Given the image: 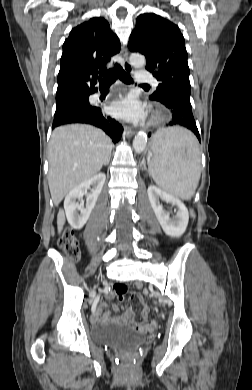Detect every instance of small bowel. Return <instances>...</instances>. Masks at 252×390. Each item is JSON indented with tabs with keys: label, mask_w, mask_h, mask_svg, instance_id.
<instances>
[{
	"label": "small bowel",
	"mask_w": 252,
	"mask_h": 390,
	"mask_svg": "<svg viewBox=\"0 0 252 390\" xmlns=\"http://www.w3.org/2000/svg\"><path fill=\"white\" fill-rule=\"evenodd\" d=\"M116 293L114 291H110L107 293L108 297H113ZM119 300L124 299V295H118L116 294ZM139 301L142 305L140 316L141 320L137 321L134 311L131 306H128L124 314L122 315H112V313L118 312V307L116 305H107L106 303H101L98 308L95 315L91 316V319L93 322H116V323H122L126 324L129 327H131L134 330L137 331H147L150 328V322H149V308L147 304L144 302V300L139 298Z\"/></svg>",
	"instance_id": "c3829d8e"
}]
</instances>
